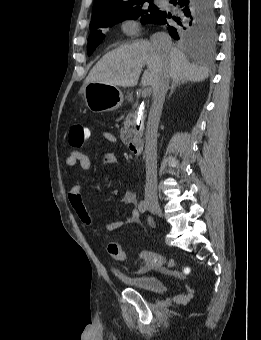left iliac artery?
Instances as JSON below:
<instances>
[{
  "mask_svg": "<svg viewBox=\"0 0 261 340\" xmlns=\"http://www.w3.org/2000/svg\"><path fill=\"white\" fill-rule=\"evenodd\" d=\"M148 221H149V222H151V219H150V218H148Z\"/></svg>",
  "mask_w": 261,
  "mask_h": 340,
  "instance_id": "obj_1",
  "label": "left iliac artery"
}]
</instances>
